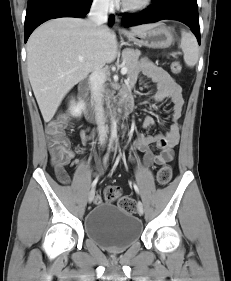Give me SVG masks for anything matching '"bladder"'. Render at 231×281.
I'll return each mask as SVG.
<instances>
[{"mask_svg":"<svg viewBox=\"0 0 231 281\" xmlns=\"http://www.w3.org/2000/svg\"><path fill=\"white\" fill-rule=\"evenodd\" d=\"M84 231L102 248L119 252L139 241L143 225L134 215L113 204L102 203L85 216Z\"/></svg>","mask_w":231,"mask_h":281,"instance_id":"31cf9c89","label":"bladder"}]
</instances>
